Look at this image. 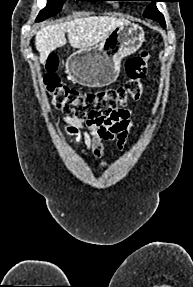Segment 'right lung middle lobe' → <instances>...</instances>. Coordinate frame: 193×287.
<instances>
[{
	"instance_id": "right-lung-middle-lobe-1",
	"label": "right lung middle lobe",
	"mask_w": 193,
	"mask_h": 287,
	"mask_svg": "<svg viewBox=\"0 0 193 287\" xmlns=\"http://www.w3.org/2000/svg\"><path fill=\"white\" fill-rule=\"evenodd\" d=\"M77 1H98V0H77ZM65 0H48L47 6L42 9L37 17V21H42L56 15L62 9Z\"/></svg>"
}]
</instances>
